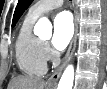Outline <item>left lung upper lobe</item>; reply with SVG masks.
I'll return each instance as SVG.
<instances>
[{
  "instance_id": "obj_1",
  "label": "left lung upper lobe",
  "mask_w": 107,
  "mask_h": 89,
  "mask_svg": "<svg viewBox=\"0 0 107 89\" xmlns=\"http://www.w3.org/2000/svg\"><path fill=\"white\" fill-rule=\"evenodd\" d=\"M32 1L33 0H19L18 4L16 6V9H15V12H14L12 27L15 26V24L18 21V19L20 18V16L29 7V5L31 4Z\"/></svg>"
}]
</instances>
